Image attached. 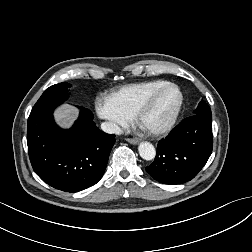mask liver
<instances>
[{
    "label": "liver",
    "mask_w": 252,
    "mask_h": 252,
    "mask_svg": "<svg viewBox=\"0 0 252 252\" xmlns=\"http://www.w3.org/2000/svg\"><path fill=\"white\" fill-rule=\"evenodd\" d=\"M77 115L78 111L75 108L68 104H63L55 111L54 118L62 128L66 129L73 124V121L77 118Z\"/></svg>",
    "instance_id": "liver-1"
}]
</instances>
